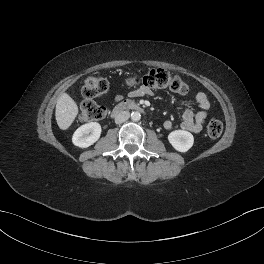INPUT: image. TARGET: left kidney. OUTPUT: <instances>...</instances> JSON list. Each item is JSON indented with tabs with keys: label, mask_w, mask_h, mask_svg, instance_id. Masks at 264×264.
Instances as JSON below:
<instances>
[{
	"label": "left kidney",
	"mask_w": 264,
	"mask_h": 264,
	"mask_svg": "<svg viewBox=\"0 0 264 264\" xmlns=\"http://www.w3.org/2000/svg\"><path fill=\"white\" fill-rule=\"evenodd\" d=\"M168 141L179 152H187L194 143L193 135L185 130H175L168 135Z\"/></svg>",
	"instance_id": "5707ae66"
}]
</instances>
